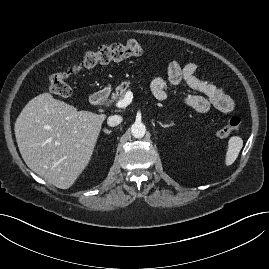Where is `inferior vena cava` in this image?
I'll return each instance as SVG.
<instances>
[{
  "label": "inferior vena cava",
  "mask_w": 269,
  "mask_h": 269,
  "mask_svg": "<svg viewBox=\"0 0 269 269\" xmlns=\"http://www.w3.org/2000/svg\"><path fill=\"white\" fill-rule=\"evenodd\" d=\"M123 118L120 115L109 116L107 124L111 127L117 126L122 122Z\"/></svg>",
  "instance_id": "602c4592"
}]
</instances>
